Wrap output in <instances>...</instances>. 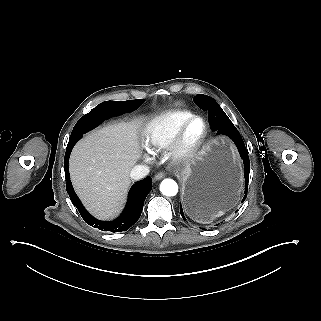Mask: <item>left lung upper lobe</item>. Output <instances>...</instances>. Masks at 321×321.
Listing matches in <instances>:
<instances>
[{"label":"left lung upper lobe","mask_w":321,"mask_h":321,"mask_svg":"<svg viewBox=\"0 0 321 321\" xmlns=\"http://www.w3.org/2000/svg\"><path fill=\"white\" fill-rule=\"evenodd\" d=\"M193 100L198 105V107L205 111H207V108L211 106L220 107L213 98L207 95H196Z\"/></svg>","instance_id":"obj_1"}]
</instances>
